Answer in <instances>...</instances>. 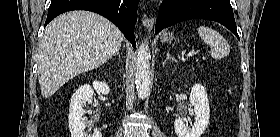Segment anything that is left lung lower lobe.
I'll use <instances>...</instances> for the list:
<instances>
[{
	"label": "left lung lower lobe",
	"mask_w": 280,
	"mask_h": 137,
	"mask_svg": "<svg viewBox=\"0 0 280 137\" xmlns=\"http://www.w3.org/2000/svg\"><path fill=\"white\" fill-rule=\"evenodd\" d=\"M189 19L219 22L239 39L230 0H164L156 20L155 34L175 23Z\"/></svg>",
	"instance_id": "obj_1"
}]
</instances>
